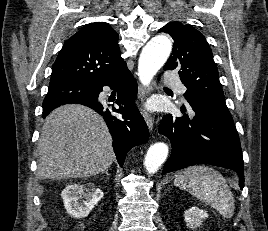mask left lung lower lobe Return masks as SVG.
Instances as JSON below:
<instances>
[{
	"mask_svg": "<svg viewBox=\"0 0 268 231\" xmlns=\"http://www.w3.org/2000/svg\"><path fill=\"white\" fill-rule=\"evenodd\" d=\"M188 110L182 107V117L168 114L162 118L159 133L172 144L162 175L195 164H210L237 172L243 189V157L234 122L197 104H189Z\"/></svg>",
	"mask_w": 268,
	"mask_h": 231,
	"instance_id": "0a47b994",
	"label": "left lung lower lobe"
}]
</instances>
